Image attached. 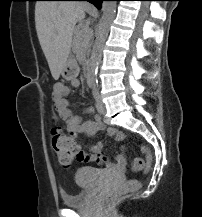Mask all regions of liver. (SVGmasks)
I'll use <instances>...</instances> for the list:
<instances>
[{
	"label": "liver",
	"instance_id": "liver-1",
	"mask_svg": "<svg viewBox=\"0 0 202 217\" xmlns=\"http://www.w3.org/2000/svg\"><path fill=\"white\" fill-rule=\"evenodd\" d=\"M90 9L89 4L76 2L41 1L35 5L37 36L55 80L69 57L74 27Z\"/></svg>",
	"mask_w": 202,
	"mask_h": 217
}]
</instances>
